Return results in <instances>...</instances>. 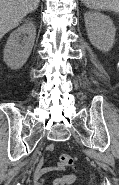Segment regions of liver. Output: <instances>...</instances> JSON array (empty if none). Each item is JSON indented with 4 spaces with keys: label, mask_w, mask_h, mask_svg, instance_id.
<instances>
[{
    "label": "liver",
    "mask_w": 119,
    "mask_h": 185,
    "mask_svg": "<svg viewBox=\"0 0 119 185\" xmlns=\"http://www.w3.org/2000/svg\"><path fill=\"white\" fill-rule=\"evenodd\" d=\"M40 0H0V39L35 11Z\"/></svg>",
    "instance_id": "liver-1"
}]
</instances>
